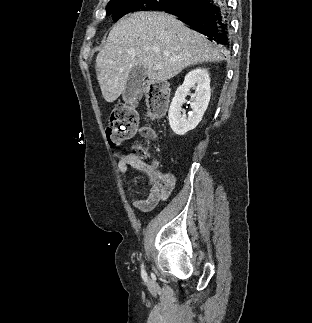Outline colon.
I'll return each instance as SVG.
<instances>
[{"label": "colon", "mask_w": 312, "mask_h": 323, "mask_svg": "<svg viewBox=\"0 0 312 323\" xmlns=\"http://www.w3.org/2000/svg\"><path fill=\"white\" fill-rule=\"evenodd\" d=\"M150 90L149 102L150 117L157 119L165 110L168 101V89L161 80H155L148 84ZM110 124L106 129V139L111 147L120 146L123 142L132 138L138 130L139 114L135 102L119 103L111 111ZM146 139H152L154 133L149 128L141 130ZM132 154L140 160L149 156L148 147L138 144L132 149Z\"/></svg>", "instance_id": "obj_1"}]
</instances>
